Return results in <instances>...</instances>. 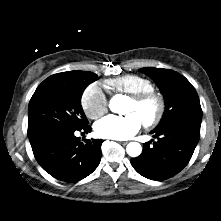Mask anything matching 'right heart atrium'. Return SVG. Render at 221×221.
<instances>
[{"mask_svg": "<svg viewBox=\"0 0 221 221\" xmlns=\"http://www.w3.org/2000/svg\"><path fill=\"white\" fill-rule=\"evenodd\" d=\"M80 103L84 113L90 119L99 118L108 107L106 95L98 83H91L84 89Z\"/></svg>", "mask_w": 221, "mask_h": 221, "instance_id": "obj_1", "label": "right heart atrium"}]
</instances>
